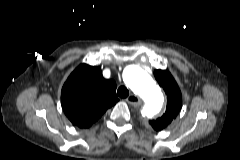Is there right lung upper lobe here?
<instances>
[{"instance_id": "right-lung-upper-lobe-1", "label": "right lung upper lobe", "mask_w": 240, "mask_h": 160, "mask_svg": "<svg viewBox=\"0 0 240 160\" xmlns=\"http://www.w3.org/2000/svg\"><path fill=\"white\" fill-rule=\"evenodd\" d=\"M117 101L116 83L106 80L100 67L87 64L71 73L61 92L64 113L80 128L90 127Z\"/></svg>"}]
</instances>
